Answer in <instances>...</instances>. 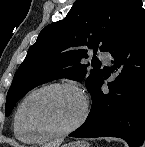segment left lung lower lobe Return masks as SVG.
<instances>
[{
	"mask_svg": "<svg viewBox=\"0 0 145 147\" xmlns=\"http://www.w3.org/2000/svg\"><path fill=\"white\" fill-rule=\"evenodd\" d=\"M108 52L113 57L108 83L105 72L92 92V107L85 123L70 137H118L130 147H139L145 138V9L141 0H131L121 29ZM134 65V66H130Z\"/></svg>",
	"mask_w": 145,
	"mask_h": 147,
	"instance_id": "0a47b994",
	"label": "left lung lower lobe"
}]
</instances>
